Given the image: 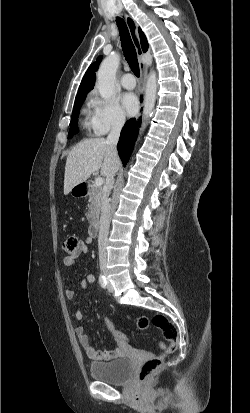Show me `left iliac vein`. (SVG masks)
<instances>
[{"label":"left iliac vein","mask_w":250,"mask_h":413,"mask_svg":"<svg viewBox=\"0 0 250 413\" xmlns=\"http://www.w3.org/2000/svg\"><path fill=\"white\" fill-rule=\"evenodd\" d=\"M113 289H112V286H111V284L108 282V291H112Z\"/></svg>","instance_id":"4c4485c4"}]
</instances>
